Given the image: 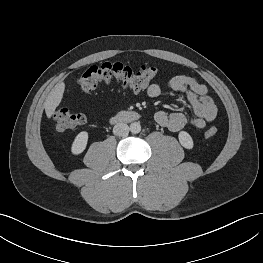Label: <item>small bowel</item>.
I'll list each match as a JSON object with an SVG mask.
<instances>
[{"label": "small bowel", "instance_id": "small-bowel-1", "mask_svg": "<svg viewBox=\"0 0 263 263\" xmlns=\"http://www.w3.org/2000/svg\"><path fill=\"white\" fill-rule=\"evenodd\" d=\"M167 87L171 92L185 95L193 110L194 117L189 120L180 111L172 113L157 111L154 119L158 125L170 131L178 132L188 123L196 128H204L216 118L217 107L214 100L208 95L206 86L197 82L194 78L185 74H179L169 80ZM163 93L164 89L157 83L151 84L147 89V94L151 98H157Z\"/></svg>", "mask_w": 263, "mask_h": 263}]
</instances>
